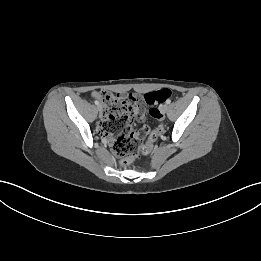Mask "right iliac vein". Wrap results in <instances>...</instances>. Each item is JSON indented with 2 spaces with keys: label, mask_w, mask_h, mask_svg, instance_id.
Masks as SVG:
<instances>
[{
  "label": "right iliac vein",
  "mask_w": 261,
  "mask_h": 261,
  "mask_svg": "<svg viewBox=\"0 0 261 261\" xmlns=\"http://www.w3.org/2000/svg\"><path fill=\"white\" fill-rule=\"evenodd\" d=\"M97 109H98L99 112H102V109H103V108H102L101 105H98Z\"/></svg>",
  "instance_id": "63e3f726"
}]
</instances>
